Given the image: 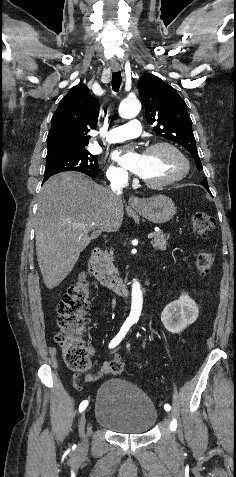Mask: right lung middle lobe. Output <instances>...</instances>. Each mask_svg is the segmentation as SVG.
I'll list each match as a JSON object with an SVG mask.
<instances>
[{
  "label": "right lung middle lobe",
  "mask_w": 236,
  "mask_h": 477,
  "mask_svg": "<svg viewBox=\"0 0 236 477\" xmlns=\"http://www.w3.org/2000/svg\"><path fill=\"white\" fill-rule=\"evenodd\" d=\"M98 169L97 157L83 148L76 153L46 161L44 178L64 171H78L95 178Z\"/></svg>",
  "instance_id": "right-lung-middle-lobe-1"
}]
</instances>
